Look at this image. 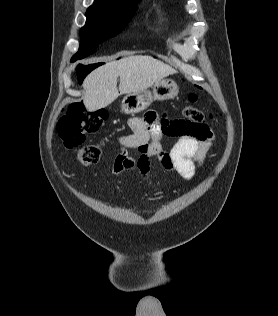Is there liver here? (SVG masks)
Segmentation results:
<instances>
[{
    "instance_id": "6515ba94",
    "label": "liver",
    "mask_w": 278,
    "mask_h": 316,
    "mask_svg": "<svg viewBox=\"0 0 278 316\" xmlns=\"http://www.w3.org/2000/svg\"><path fill=\"white\" fill-rule=\"evenodd\" d=\"M176 72L171 66L147 55L108 62L92 71L84 80V104L89 111L104 108L119 95L144 91ZM118 77L120 84L117 89Z\"/></svg>"
}]
</instances>
